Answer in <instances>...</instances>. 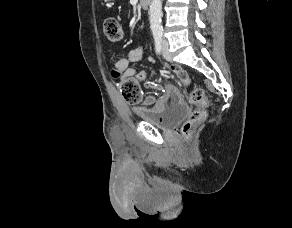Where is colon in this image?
I'll return each instance as SVG.
<instances>
[{"mask_svg": "<svg viewBox=\"0 0 292 228\" xmlns=\"http://www.w3.org/2000/svg\"><path fill=\"white\" fill-rule=\"evenodd\" d=\"M103 32L105 37L111 42H119L123 38V29L120 21L113 16H108L103 22ZM112 74L116 78H120L119 72L112 70ZM119 90L124 99L129 104H137L141 100V90L138 83L133 78L121 79L119 82ZM189 98L197 108L192 112L188 120L183 125V134L189 136L193 127L202 122L206 117L205 108L207 106V97L200 87H194L190 90Z\"/></svg>", "mask_w": 292, "mask_h": 228, "instance_id": "5ec220e1", "label": "colon"}]
</instances>
